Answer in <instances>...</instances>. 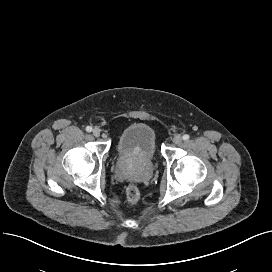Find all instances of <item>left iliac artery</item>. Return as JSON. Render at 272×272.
Here are the masks:
<instances>
[{
	"label": "left iliac artery",
	"mask_w": 272,
	"mask_h": 272,
	"mask_svg": "<svg viewBox=\"0 0 272 272\" xmlns=\"http://www.w3.org/2000/svg\"><path fill=\"white\" fill-rule=\"evenodd\" d=\"M182 138H183V140H185V141H186V140H188L190 137H189V135H188V134H184Z\"/></svg>",
	"instance_id": "1"
}]
</instances>
